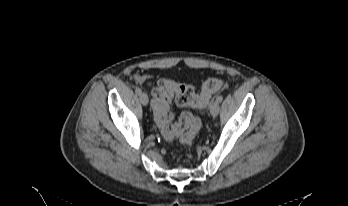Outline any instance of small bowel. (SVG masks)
<instances>
[{"label": "small bowel", "mask_w": 348, "mask_h": 206, "mask_svg": "<svg viewBox=\"0 0 348 206\" xmlns=\"http://www.w3.org/2000/svg\"><path fill=\"white\" fill-rule=\"evenodd\" d=\"M133 78L136 82L141 83V84H152V76L148 74H134Z\"/></svg>", "instance_id": "obj_1"}]
</instances>
